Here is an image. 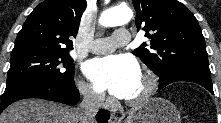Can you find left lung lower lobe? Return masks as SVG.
Returning a JSON list of instances; mask_svg holds the SVG:
<instances>
[{"instance_id": "obj_1", "label": "left lung lower lobe", "mask_w": 221, "mask_h": 123, "mask_svg": "<svg viewBox=\"0 0 221 123\" xmlns=\"http://www.w3.org/2000/svg\"><path fill=\"white\" fill-rule=\"evenodd\" d=\"M159 81L158 90H161L173 82L188 81L197 83L206 88L211 94H214L211 82V73L199 69L190 68L169 72L163 75Z\"/></svg>"}]
</instances>
